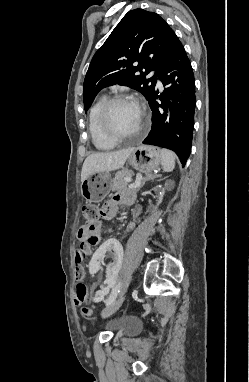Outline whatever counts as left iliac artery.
Listing matches in <instances>:
<instances>
[{
	"label": "left iliac artery",
	"mask_w": 249,
	"mask_h": 382,
	"mask_svg": "<svg viewBox=\"0 0 249 382\" xmlns=\"http://www.w3.org/2000/svg\"><path fill=\"white\" fill-rule=\"evenodd\" d=\"M120 286H121V283H118V285H116V286L113 288V290H112L110 296L108 297V299H107L106 302H105L106 305H109V304H111L112 302L115 301V299H116V297H117V294L119 293Z\"/></svg>",
	"instance_id": "left-iliac-artery-1"
}]
</instances>
